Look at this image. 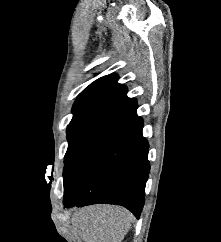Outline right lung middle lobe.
I'll return each mask as SVG.
<instances>
[{"instance_id": "obj_1", "label": "right lung middle lobe", "mask_w": 221, "mask_h": 242, "mask_svg": "<svg viewBox=\"0 0 221 242\" xmlns=\"http://www.w3.org/2000/svg\"><path fill=\"white\" fill-rule=\"evenodd\" d=\"M99 125L96 124H83L69 126L67 128V138L69 141L68 149L65 154L64 171L69 165V162L80 145L95 131Z\"/></svg>"}]
</instances>
